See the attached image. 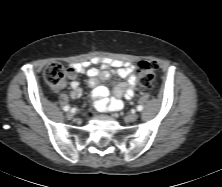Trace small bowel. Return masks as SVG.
<instances>
[{"label":"small bowel","instance_id":"obj_1","mask_svg":"<svg viewBox=\"0 0 222 187\" xmlns=\"http://www.w3.org/2000/svg\"><path fill=\"white\" fill-rule=\"evenodd\" d=\"M92 65H101V69ZM116 74L125 79L117 84L112 91L100 83L106 81L111 74ZM78 74L89 77L88 85L92 89V98L99 110L118 111L123 107V99L131 100L135 95L137 83V72L135 66L130 62L111 59L108 57H93L89 60L75 63L68 68L70 78V97L76 99L81 96L82 89L76 80Z\"/></svg>","mask_w":222,"mask_h":187}]
</instances>
